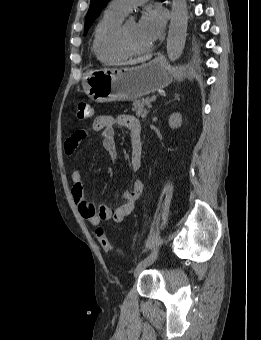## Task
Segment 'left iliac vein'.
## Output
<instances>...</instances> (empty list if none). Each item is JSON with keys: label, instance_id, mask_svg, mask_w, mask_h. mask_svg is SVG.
Returning a JSON list of instances; mask_svg holds the SVG:
<instances>
[{"label": "left iliac vein", "instance_id": "left-iliac-vein-1", "mask_svg": "<svg viewBox=\"0 0 261 340\" xmlns=\"http://www.w3.org/2000/svg\"><path fill=\"white\" fill-rule=\"evenodd\" d=\"M150 263H144L137 265V267L134 270V276H137L139 273H141L145 268L149 266Z\"/></svg>", "mask_w": 261, "mask_h": 340}]
</instances>
